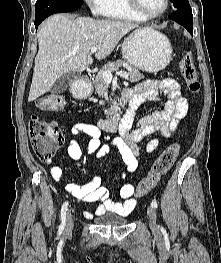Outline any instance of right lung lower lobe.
Segmentation results:
<instances>
[{"instance_id":"obj_1","label":"right lung lower lobe","mask_w":221,"mask_h":263,"mask_svg":"<svg viewBox=\"0 0 221 263\" xmlns=\"http://www.w3.org/2000/svg\"><path fill=\"white\" fill-rule=\"evenodd\" d=\"M78 8H73V9H65V10H57V11H53V12H50V13H47V14H44V15H41V16H36L35 17V27H36V30L39 26V24L45 19L47 18L48 16L52 15V14H55V13H61V12H70V11H74V10H77Z\"/></svg>"}]
</instances>
